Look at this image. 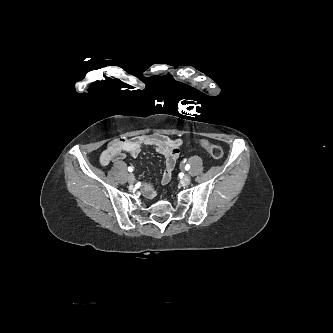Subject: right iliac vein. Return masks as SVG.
Returning a JSON list of instances; mask_svg holds the SVG:
<instances>
[{"label": "right iliac vein", "instance_id": "obj_1", "mask_svg": "<svg viewBox=\"0 0 333 333\" xmlns=\"http://www.w3.org/2000/svg\"><path fill=\"white\" fill-rule=\"evenodd\" d=\"M128 182L129 183H134L135 182V176L132 173H130L128 175Z\"/></svg>", "mask_w": 333, "mask_h": 333}]
</instances>
